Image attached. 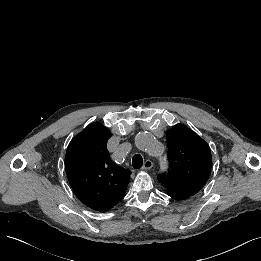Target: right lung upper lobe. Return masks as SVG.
<instances>
[{
    "label": "right lung upper lobe",
    "instance_id": "right-lung-upper-lobe-1",
    "mask_svg": "<svg viewBox=\"0 0 261 261\" xmlns=\"http://www.w3.org/2000/svg\"><path fill=\"white\" fill-rule=\"evenodd\" d=\"M111 132L93 123L70 142L65 170L77 197L93 210L106 212L125 196L131 172L109 157L107 141Z\"/></svg>",
    "mask_w": 261,
    "mask_h": 261
}]
</instances>
